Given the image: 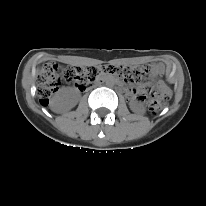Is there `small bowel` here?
<instances>
[{
	"instance_id": "1",
	"label": "small bowel",
	"mask_w": 206,
	"mask_h": 206,
	"mask_svg": "<svg viewBox=\"0 0 206 206\" xmlns=\"http://www.w3.org/2000/svg\"><path fill=\"white\" fill-rule=\"evenodd\" d=\"M163 71H164V66H163V64H157L156 66L153 67V73H154V74H161V73H163ZM135 93H136V90H133V89H132V90L129 91V94H130L131 96H134Z\"/></svg>"
}]
</instances>
